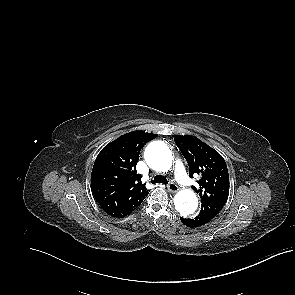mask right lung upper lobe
Here are the masks:
<instances>
[{"label": "right lung upper lobe", "instance_id": "cb5924a9", "mask_svg": "<svg viewBox=\"0 0 295 295\" xmlns=\"http://www.w3.org/2000/svg\"><path fill=\"white\" fill-rule=\"evenodd\" d=\"M157 135L143 131L124 134L98 154L91 175L93 194L109 215L125 217L145 199L149 190L141 182L136 165L140 150Z\"/></svg>", "mask_w": 295, "mask_h": 295}]
</instances>
